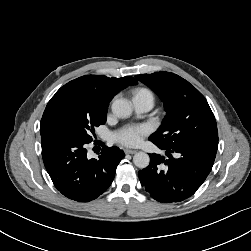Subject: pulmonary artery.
I'll list each match as a JSON object with an SVG mask.
<instances>
[{
    "mask_svg": "<svg viewBox=\"0 0 251 251\" xmlns=\"http://www.w3.org/2000/svg\"><path fill=\"white\" fill-rule=\"evenodd\" d=\"M153 97L150 95H136L133 97L135 111L139 114L146 113L153 107Z\"/></svg>",
    "mask_w": 251,
    "mask_h": 251,
    "instance_id": "1",
    "label": "pulmonary artery"
}]
</instances>
